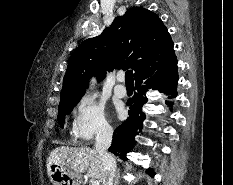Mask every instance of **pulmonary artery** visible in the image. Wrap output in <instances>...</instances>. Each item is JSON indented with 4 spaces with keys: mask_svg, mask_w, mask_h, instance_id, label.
<instances>
[{
    "mask_svg": "<svg viewBox=\"0 0 233 185\" xmlns=\"http://www.w3.org/2000/svg\"><path fill=\"white\" fill-rule=\"evenodd\" d=\"M124 74L123 73H119L117 75V85L114 88L115 94L119 97H124L126 95V87L123 84L124 81Z\"/></svg>",
    "mask_w": 233,
    "mask_h": 185,
    "instance_id": "e3ab8cb5",
    "label": "pulmonary artery"
}]
</instances>
